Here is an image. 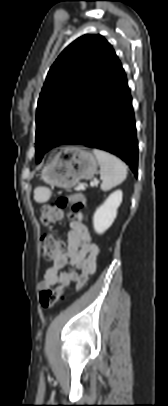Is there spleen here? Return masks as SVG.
<instances>
[{"label":"spleen","instance_id":"3e777b00","mask_svg":"<svg viewBox=\"0 0 168 406\" xmlns=\"http://www.w3.org/2000/svg\"><path fill=\"white\" fill-rule=\"evenodd\" d=\"M93 153L100 165L101 189L103 191L112 189L126 179L127 167L120 159L99 149H94ZM50 194V190L45 187H39L35 190L36 198L42 201L48 200Z\"/></svg>","mask_w":168,"mask_h":406}]
</instances>
